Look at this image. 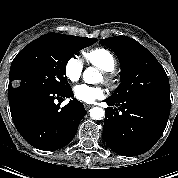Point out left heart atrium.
I'll list each match as a JSON object with an SVG mask.
<instances>
[{
  "label": "left heart atrium",
  "instance_id": "1",
  "mask_svg": "<svg viewBox=\"0 0 178 178\" xmlns=\"http://www.w3.org/2000/svg\"><path fill=\"white\" fill-rule=\"evenodd\" d=\"M105 89L100 86H89L86 84H79L74 88L75 97L86 103H93L96 100L102 99L105 96Z\"/></svg>",
  "mask_w": 178,
  "mask_h": 178
}]
</instances>
